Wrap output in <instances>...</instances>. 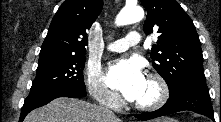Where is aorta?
<instances>
[{
    "instance_id": "aorta-1",
    "label": "aorta",
    "mask_w": 221,
    "mask_h": 122,
    "mask_svg": "<svg viewBox=\"0 0 221 122\" xmlns=\"http://www.w3.org/2000/svg\"><path fill=\"white\" fill-rule=\"evenodd\" d=\"M144 17V11L140 6H126L117 15L115 24L117 26H123L138 22Z\"/></svg>"
}]
</instances>
